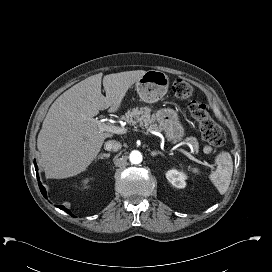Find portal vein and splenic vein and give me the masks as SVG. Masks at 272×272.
Instances as JSON below:
<instances>
[{
	"instance_id": "obj_1",
	"label": "portal vein and splenic vein",
	"mask_w": 272,
	"mask_h": 272,
	"mask_svg": "<svg viewBox=\"0 0 272 272\" xmlns=\"http://www.w3.org/2000/svg\"><path fill=\"white\" fill-rule=\"evenodd\" d=\"M96 124L98 125V128L100 131L103 132H109V133H114V134H124L126 133V129L117 127L115 125H106L104 123V120H95ZM180 151L185 154L187 157H189L193 161H197V159L191 155L189 152L180 149Z\"/></svg>"
}]
</instances>
